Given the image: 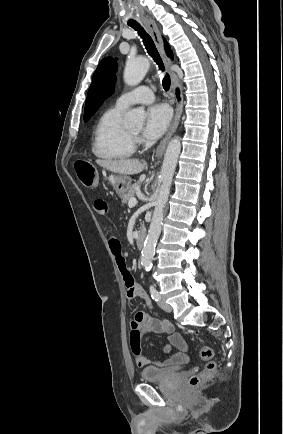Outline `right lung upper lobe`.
<instances>
[{
	"label": "right lung upper lobe",
	"instance_id": "cb5924a9",
	"mask_svg": "<svg viewBox=\"0 0 283 434\" xmlns=\"http://www.w3.org/2000/svg\"><path fill=\"white\" fill-rule=\"evenodd\" d=\"M164 44H165V51H166V54L169 56V57H171V59H173V55H172V52H171V49H170V47H169V45H168V43H167V41L164 39Z\"/></svg>",
	"mask_w": 283,
	"mask_h": 434
}]
</instances>
